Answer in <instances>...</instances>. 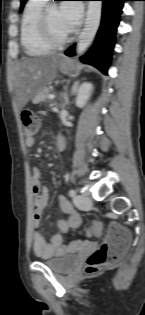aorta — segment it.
<instances>
[{"label": "aorta", "instance_id": "762f6f07", "mask_svg": "<svg viewBox=\"0 0 145 315\" xmlns=\"http://www.w3.org/2000/svg\"><path fill=\"white\" fill-rule=\"evenodd\" d=\"M101 12V1H90L88 3L85 25L79 36L76 48L78 55H82L93 41L100 25Z\"/></svg>", "mask_w": 145, "mask_h": 315}]
</instances>
